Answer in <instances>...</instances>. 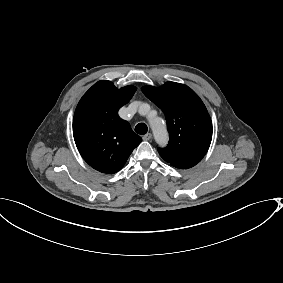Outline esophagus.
Here are the masks:
<instances>
[{
	"instance_id": "34e87169",
	"label": "esophagus",
	"mask_w": 283,
	"mask_h": 283,
	"mask_svg": "<svg viewBox=\"0 0 283 283\" xmlns=\"http://www.w3.org/2000/svg\"><path fill=\"white\" fill-rule=\"evenodd\" d=\"M151 137H152V134H151V133H147V134H145V135L142 137V139H143L144 141H148V140L151 139Z\"/></svg>"
}]
</instances>
